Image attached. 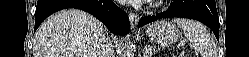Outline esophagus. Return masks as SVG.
<instances>
[{
	"mask_svg": "<svg viewBox=\"0 0 249 57\" xmlns=\"http://www.w3.org/2000/svg\"><path fill=\"white\" fill-rule=\"evenodd\" d=\"M129 20H130L131 28H134L139 21V16L137 14L131 12L129 14Z\"/></svg>",
	"mask_w": 249,
	"mask_h": 57,
	"instance_id": "esophagus-1",
	"label": "esophagus"
}]
</instances>
